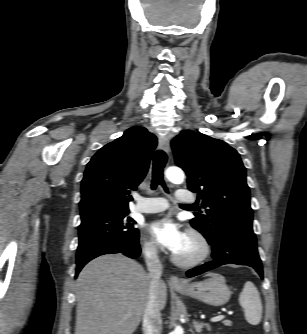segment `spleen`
Instances as JSON below:
<instances>
[{
	"label": "spleen",
	"mask_w": 307,
	"mask_h": 334,
	"mask_svg": "<svg viewBox=\"0 0 307 334\" xmlns=\"http://www.w3.org/2000/svg\"><path fill=\"white\" fill-rule=\"evenodd\" d=\"M239 303L245 311V318L251 325H258L262 318V303L256 286L248 281L239 296Z\"/></svg>",
	"instance_id": "obj_1"
}]
</instances>
